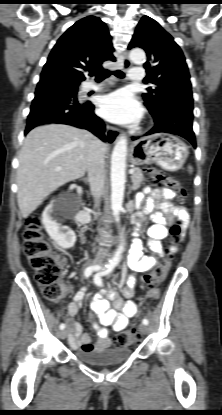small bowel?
I'll use <instances>...</instances> for the list:
<instances>
[{
	"label": "small bowel",
	"mask_w": 222,
	"mask_h": 415,
	"mask_svg": "<svg viewBox=\"0 0 222 415\" xmlns=\"http://www.w3.org/2000/svg\"><path fill=\"white\" fill-rule=\"evenodd\" d=\"M145 192L148 196L139 213V218L145 220L149 217L152 221V225L147 230V246L153 253L162 255L161 239L167 235L168 221L179 219L186 225L189 221V215L184 209L174 206L175 194L171 190L148 187ZM127 262L135 272L144 273L155 266L156 258L144 255L142 241L135 239L130 248ZM135 284L136 278L130 276L121 290L122 295L114 289L102 288L92 300L91 311L100 321V325H98L90 317L98 336L96 343L91 342L90 335L83 332L82 325L76 320L86 293V288L81 287L67 307L69 318L66 319V322L70 331L68 337L70 346L73 349L84 351L107 350L111 344L108 327L117 332L123 331L128 325V320L138 312L136 303L132 301Z\"/></svg>",
	"instance_id": "obj_1"
}]
</instances>
